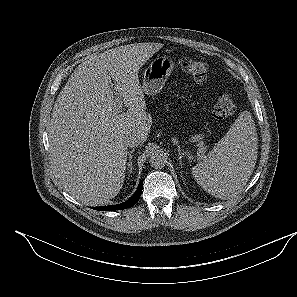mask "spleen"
Wrapping results in <instances>:
<instances>
[{
  "label": "spleen",
  "instance_id": "spleen-1",
  "mask_svg": "<svg viewBox=\"0 0 297 297\" xmlns=\"http://www.w3.org/2000/svg\"><path fill=\"white\" fill-rule=\"evenodd\" d=\"M258 139L248 111L240 113L207 157L192 168L197 183L208 193L228 199L239 194L253 173Z\"/></svg>",
  "mask_w": 297,
  "mask_h": 297
}]
</instances>
